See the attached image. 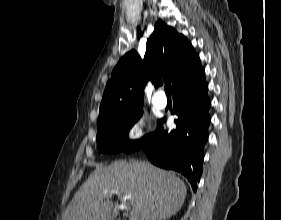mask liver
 I'll list each match as a JSON object with an SVG mask.
<instances>
[{"instance_id": "liver-1", "label": "liver", "mask_w": 281, "mask_h": 220, "mask_svg": "<svg viewBox=\"0 0 281 220\" xmlns=\"http://www.w3.org/2000/svg\"><path fill=\"white\" fill-rule=\"evenodd\" d=\"M131 195L129 220H166L182 207L187 189L174 172L145 161H116L97 167L81 185L62 220H113L118 204L106 191Z\"/></svg>"}]
</instances>
